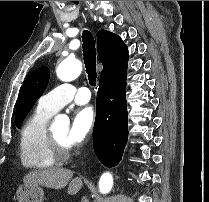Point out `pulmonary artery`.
Here are the masks:
<instances>
[{
	"mask_svg": "<svg viewBox=\"0 0 209 202\" xmlns=\"http://www.w3.org/2000/svg\"><path fill=\"white\" fill-rule=\"evenodd\" d=\"M90 98L91 92L88 88L71 83H62L44 94L39 99L38 106L51 113H56L70 102L85 104Z\"/></svg>",
	"mask_w": 209,
	"mask_h": 202,
	"instance_id": "e3ab8cb5",
	"label": "pulmonary artery"
}]
</instances>
